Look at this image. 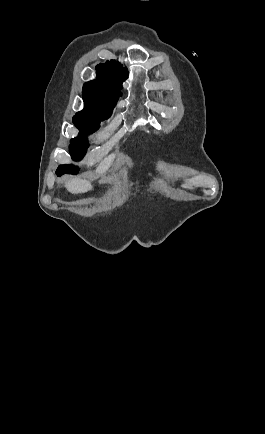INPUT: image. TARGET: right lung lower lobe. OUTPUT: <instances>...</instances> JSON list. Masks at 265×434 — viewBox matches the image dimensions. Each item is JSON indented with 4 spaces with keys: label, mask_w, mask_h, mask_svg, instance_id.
Instances as JSON below:
<instances>
[{
    "label": "right lung lower lobe",
    "mask_w": 265,
    "mask_h": 434,
    "mask_svg": "<svg viewBox=\"0 0 265 434\" xmlns=\"http://www.w3.org/2000/svg\"><path fill=\"white\" fill-rule=\"evenodd\" d=\"M64 173H66V171H59V170L56 171V174H57L58 176H60V175H62V174H64Z\"/></svg>",
    "instance_id": "obj_1"
}]
</instances>
